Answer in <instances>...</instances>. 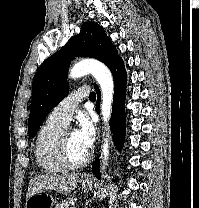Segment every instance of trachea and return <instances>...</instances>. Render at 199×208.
<instances>
[{"label":"trachea","instance_id":"1","mask_svg":"<svg viewBox=\"0 0 199 208\" xmlns=\"http://www.w3.org/2000/svg\"><path fill=\"white\" fill-rule=\"evenodd\" d=\"M89 99L92 100V101L96 100V94H95V92H91L90 93Z\"/></svg>","mask_w":199,"mask_h":208}]
</instances>
